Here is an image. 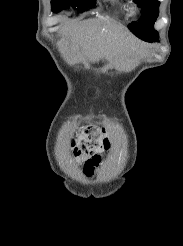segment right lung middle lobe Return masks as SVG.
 I'll return each mask as SVG.
<instances>
[{"label":"right lung middle lobe","instance_id":"right-lung-middle-lobe-1","mask_svg":"<svg viewBox=\"0 0 183 246\" xmlns=\"http://www.w3.org/2000/svg\"><path fill=\"white\" fill-rule=\"evenodd\" d=\"M53 12H59L64 8L69 7V5L74 8L77 7L78 11H86L87 8H92L95 6V0H52L51 1Z\"/></svg>","mask_w":183,"mask_h":246}]
</instances>
